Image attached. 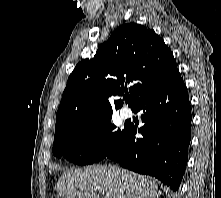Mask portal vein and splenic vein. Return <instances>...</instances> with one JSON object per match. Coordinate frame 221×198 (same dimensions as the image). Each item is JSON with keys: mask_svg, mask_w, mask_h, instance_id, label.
Listing matches in <instances>:
<instances>
[{"mask_svg": "<svg viewBox=\"0 0 221 198\" xmlns=\"http://www.w3.org/2000/svg\"><path fill=\"white\" fill-rule=\"evenodd\" d=\"M100 193L104 194V192H102L101 190H100Z\"/></svg>", "mask_w": 221, "mask_h": 198, "instance_id": "18ae733b", "label": "portal vein and splenic vein"}]
</instances>
